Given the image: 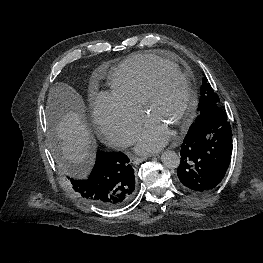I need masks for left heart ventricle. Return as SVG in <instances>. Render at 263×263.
Instances as JSON below:
<instances>
[{
    "label": "left heart ventricle",
    "instance_id": "obj_1",
    "mask_svg": "<svg viewBox=\"0 0 263 263\" xmlns=\"http://www.w3.org/2000/svg\"><path fill=\"white\" fill-rule=\"evenodd\" d=\"M187 101L185 83L179 78L167 75L161 78L149 111V119L172 132L175 123L184 111Z\"/></svg>",
    "mask_w": 263,
    "mask_h": 263
}]
</instances>
